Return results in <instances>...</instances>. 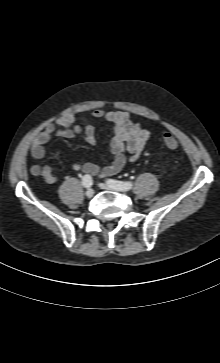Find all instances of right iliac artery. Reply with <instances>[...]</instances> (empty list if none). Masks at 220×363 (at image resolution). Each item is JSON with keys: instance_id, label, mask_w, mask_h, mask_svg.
I'll return each mask as SVG.
<instances>
[{"instance_id": "82829eb1", "label": "right iliac artery", "mask_w": 220, "mask_h": 363, "mask_svg": "<svg viewBox=\"0 0 220 363\" xmlns=\"http://www.w3.org/2000/svg\"><path fill=\"white\" fill-rule=\"evenodd\" d=\"M82 184L86 188L91 187V185L93 184L92 177L88 174L84 175L82 178Z\"/></svg>"}]
</instances>
